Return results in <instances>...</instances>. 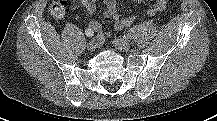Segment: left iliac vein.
Here are the masks:
<instances>
[{
    "label": "left iliac vein",
    "mask_w": 217,
    "mask_h": 121,
    "mask_svg": "<svg viewBox=\"0 0 217 121\" xmlns=\"http://www.w3.org/2000/svg\"><path fill=\"white\" fill-rule=\"evenodd\" d=\"M113 44L114 46L119 49L120 51H129L131 48V44L129 42V40L127 39H123V38H115L113 40Z\"/></svg>",
    "instance_id": "left-iliac-vein-1"
}]
</instances>
